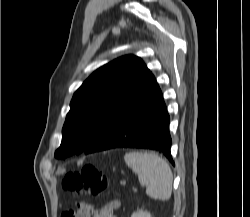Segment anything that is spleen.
<instances>
[{"instance_id":"obj_1","label":"spleen","mask_w":250,"mask_h":217,"mask_svg":"<svg viewBox=\"0 0 250 217\" xmlns=\"http://www.w3.org/2000/svg\"><path fill=\"white\" fill-rule=\"evenodd\" d=\"M129 168L146 186V194L153 199L166 201L172 193L173 174L168 163L160 156L148 152H129L124 156Z\"/></svg>"}]
</instances>
